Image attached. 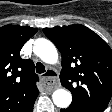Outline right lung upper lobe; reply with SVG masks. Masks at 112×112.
Wrapping results in <instances>:
<instances>
[{"mask_svg":"<svg viewBox=\"0 0 112 112\" xmlns=\"http://www.w3.org/2000/svg\"><path fill=\"white\" fill-rule=\"evenodd\" d=\"M37 28L6 25L0 28V112H30L39 94L32 60L20 57L23 45Z\"/></svg>","mask_w":112,"mask_h":112,"instance_id":"cb5924a9","label":"right lung upper lobe"}]
</instances>
